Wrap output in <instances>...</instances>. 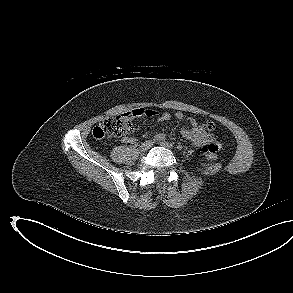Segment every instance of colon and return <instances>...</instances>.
I'll list each match as a JSON object with an SVG mask.
<instances>
[{
    "mask_svg": "<svg viewBox=\"0 0 293 293\" xmlns=\"http://www.w3.org/2000/svg\"><path fill=\"white\" fill-rule=\"evenodd\" d=\"M132 122L124 116L110 117L102 121L93 129V137L102 140L110 137L126 136L133 132ZM210 160H216L217 154L214 151L202 150Z\"/></svg>",
    "mask_w": 293,
    "mask_h": 293,
    "instance_id": "1",
    "label": "colon"
}]
</instances>
